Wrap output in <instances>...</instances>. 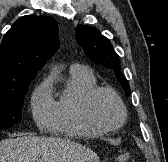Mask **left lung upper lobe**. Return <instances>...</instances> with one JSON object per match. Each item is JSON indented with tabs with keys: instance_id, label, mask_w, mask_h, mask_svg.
<instances>
[{
	"instance_id": "5c2ea615",
	"label": "left lung upper lobe",
	"mask_w": 168,
	"mask_h": 162,
	"mask_svg": "<svg viewBox=\"0 0 168 162\" xmlns=\"http://www.w3.org/2000/svg\"><path fill=\"white\" fill-rule=\"evenodd\" d=\"M77 43L83 48L86 55L96 62L115 72L127 96L130 95L128 81L120 71L119 56L115 53L110 41L98 30L79 25L75 32Z\"/></svg>"
}]
</instances>
